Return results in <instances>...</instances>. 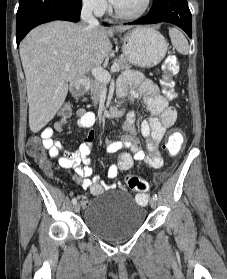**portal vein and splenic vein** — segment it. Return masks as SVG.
Masks as SVG:
<instances>
[{"mask_svg": "<svg viewBox=\"0 0 227 279\" xmlns=\"http://www.w3.org/2000/svg\"><path fill=\"white\" fill-rule=\"evenodd\" d=\"M69 69H70V63H66L64 70L67 71ZM118 71H119V66L117 64H113L111 67V72H118ZM91 72L92 75L98 80L109 82L111 79V74L100 66L92 67Z\"/></svg>", "mask_w": 227, "mask_h": 279, "instance_id": "portal-vein-and-splenic-vein-1", "label": "portal vein and splenic vein"}]
</instances>
